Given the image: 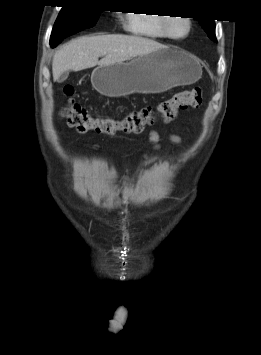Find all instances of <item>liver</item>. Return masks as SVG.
I'll return each mask as SVG.
<instances>
[{
	"instance_id": "6515ba94",
	"label": "liver",
	"mask_w": 261,
	"mask_h": 355,
	"mask_svg": "<svg viewBox=\"0 0 261 355\" xmlns=\"http://www.w3.org/2000/svg\"><path fill=\"white\" fill-rule=\"evenodd\" d=\"M164 47L148 38L133 35L83 36L63 45L54 55L52 62L53 80L66 71H80L120 63ZM99 57H102L99 60Z\"/></svg>"
}]
</instances>
